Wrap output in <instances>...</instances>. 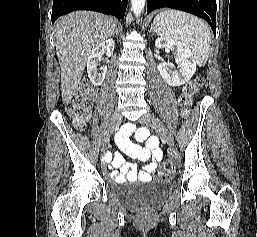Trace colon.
I'll return each mask as SVG.
<instances>
[{
    "instance_id": "1",
    "label": "colon",
    "mask_w": 257,
    "mask_h": 237,
    "mask_svg": "<svg viewBox=\"0 0 257 237\" xmlns=\"http://www.w3.org/2000/svg\"><path fill=\"white\" fill-rule=\"evenodd\" d=\"M204 85V79L202 77H195L190 80L184 87L182 95L179 98V105L182 107L184 114H188L193 103L195 95L201 90ZM94 96V90L92 87L83 82L71 102L67 106V112L72 118L75 127L83 128L90 114L89 102ZM176 168L175 160L171 159L167 161L155 174V178L158 180H167L174 173Z\"/></svg>"
}]
</instances>
